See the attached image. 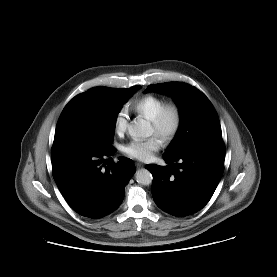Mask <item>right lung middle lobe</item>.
<instances>
[{
  "label": "right lung middle lobe",
  "instance_id": "right-lung-middle-lobe-1",
  "mask_svg": "<svg viewBox=\"0 0 277 277\" xmlns=\"http://www.w3.org/2000/svg\"><path fill=\"white\" fill-rule=\"evenodd\" d=\"M140 87H94L75 96L60 115L54 141L79 143L102 151L112 150L117 115Z\"/></svg>",
  "mask_w": 277,
  "mask_h": 277
}]
</instances>
